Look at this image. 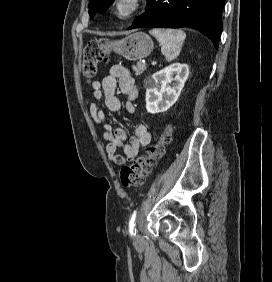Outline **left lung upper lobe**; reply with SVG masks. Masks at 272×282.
I'll list each match as a JSON object with an SVG mask.
<instances>
[{"label": "left lung upper lobe", "mask_w": 272, "mask_h": 282, "mask_svg": "<svg viewBox=\"0 0 272 282\" xmlns=\"http://www.w3.org/2000/svg\"><path fill=\"white\" fill-rule=\"evenodd\" d=\"M114 0H91L89 3V15L91 18L95 13H102L105 11Z\"/></svg>", "instance_id": "obj_1"}]
</instances>
